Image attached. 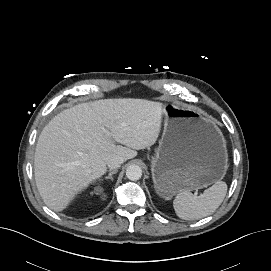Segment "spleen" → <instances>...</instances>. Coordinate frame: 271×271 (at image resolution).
Listing matches in <instances>:
<instances>
[{
  "mask_svg": "<svg viewBox=\"0 0 271 271\" xmlns=\"http://www.w3.org/2000/svg\"><path fill=\"white\" fill-rule=\"evenodd\" d=\"M227 193V184L215 182L199 196L190 191L180 192L173 201L176 215L184 220H199L211 215L221 205Z\"/></svg>",
  "mask_w": 271,
  "mask_h": 271,
  "instance_id": "spleen-1",
  "label": "spleen"
}]
</instances>
